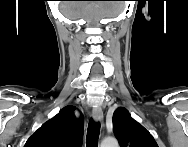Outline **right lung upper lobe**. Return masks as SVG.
Masks as SVG:
<instances>
[{
	"instance_id": "obj_1",
	"label": "right lung upper lobe",
	"mask_w": 188,
	"mask_h": 147,
	"mask_svg": "<svg viewBox=\"0 0 188 147\" xmlns=\"http://www.w3.org/2000/svg\"><path fill=\"white\" fill-rule=\"evenodd\" d=\"M73 106H66L44 123L26 142L25 147H80L83 116L76 118Z\"/></svg>"
}]
</instances>
